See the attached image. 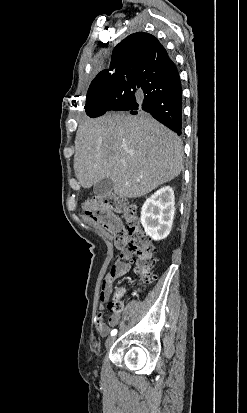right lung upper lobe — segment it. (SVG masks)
<instances>
[{"label":"right lung upper lobe","mask_w":247,"mask_h":413,"mask_svg":"<svg viewBox=\"0 0 247 413\" xmlns=\"http://www.w3.org/2000/svg\"><path fill=\"white\" fill-rule=\"evenodd\" d=\"M171 62L166 49L151 34L137 32L122 40L113 50L110 69L101 71L94 80L124 81L134 73L160 71Z\"/></svg>","instance_id":"right-lung-upper-lobe-1"}]
</instances>
